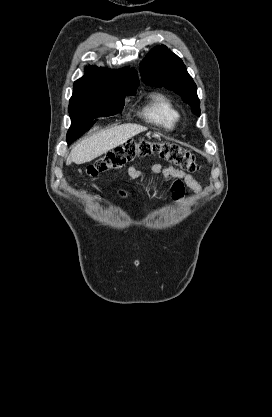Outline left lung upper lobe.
I'll use <instances>...</instances> for the list:
<instances>
[{
    "mask_svg": "<svg viewBox=\"0 0 272 417\" xmlns=\"http://www.w3.org/2000/svg\"><path fill=\"white\" fill-rule=\"evenodd\" d=\"M140 73L146 85L173 90L190 105L192 112L200 116L197 87L188 74L183 61L161 45L154 47L140 63Z\"/></svg>",
    "mask_w": 272,
    "mask_h": 417,
    "instance_id": "obj_1",
    "label": "left lung upper lobe"
}]
</instances>
